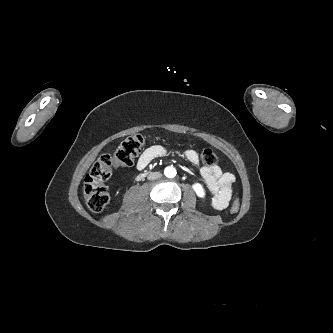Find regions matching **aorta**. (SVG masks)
Here are the masks:
<instances>
[{"label":"aorta","instance_id":"762f6f07","mask_svg":"<svg viewBox=\"0 0 333 333\" xmlns=\"http://www.w3.org/2000/svg\"><path fill=\"white\" fill-rule=\"evenodd\" d=\"M164 174L168 178H173L176 175V170L174 167H166L164 170Z\"/></svg>","mask_w":333,"mask_h":333}]
</instances>
